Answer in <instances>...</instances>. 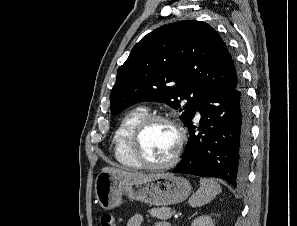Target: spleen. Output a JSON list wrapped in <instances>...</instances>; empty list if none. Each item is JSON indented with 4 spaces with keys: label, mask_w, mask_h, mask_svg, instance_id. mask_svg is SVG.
Wrapping results in <instances>:
<instances>
[{
    "label": "spleen",
    "mask_w": 297,
    "mask_h": 226,
    "mask_svg": "<svg viewBox=\"0 0 297 226\" xmlns=\"http://www.w3.org/2000/svg\"><path fill=\"white\" fill-rule=\"evenodd\" d=\"M221 191V186L215 180L201 178L200 188L189 199V205L191 207L203 206L213 200Z\"/></svg>",
    "instance_id": "spleen-1"
}]
</instances>
